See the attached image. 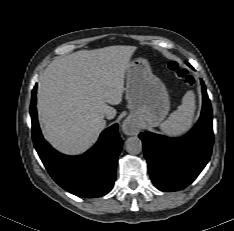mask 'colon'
<instances>
[{
    "mask_svg": "<svg viewBox=\"0 0 234 231\" xmlns=\"http://www.w3.org/2000/svg\"><path fill=\"white\" fill-rule=\"evenodd\" d=\"M168 69L172 73L173 77L186 85H193L195 82L194 76L186 68L180 66L176 61L170 62Z\"/></svg>",
    "mask_w": 234,
    "mask_h": 231,
    "instance_id": "5ec220e1",
    "label": "colon"
}]
</instances>
